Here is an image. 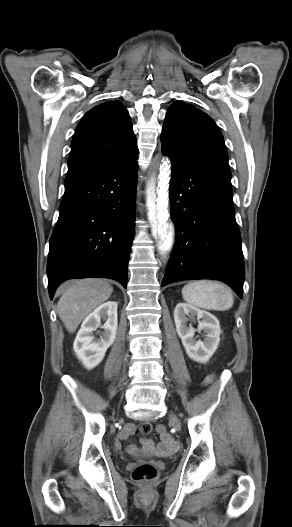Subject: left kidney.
Here are the masks:
<instances>
[{
    "mask_svg": "<svg viewBox=\"0 0 292 527\" xmlns=\"http://www.w3.org/2000/svg\"><path fill=\"white\" fill-rule=\"evenodd\" d=\"M197 316L199 321L197 331H204L203 341L194 338L195 329L187 326L188 317ZM176 331L189 358L199 363H206L215 353L219 342L221 329L218 319L211 313L200 310L190 304L179 303L174 310Z\"/></svg>",
    "mask_w": 292,
    "mask_h": 527,
    "instance_id": "left-kidney-1",
    "label": "left kidney"
}]
</instances>
